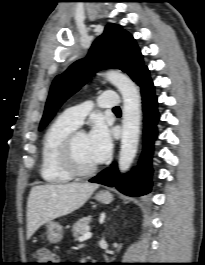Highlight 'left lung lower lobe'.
Segmentation results:
<instances>
[{
  "label": "left lung lower lobe",
  "instance_id": "0a47b994",
  "mask_svg": "<svg viewBox=\"0 0 205 265\" xmlns=\"http://www.w3.org/2000/svg\"><path fill=\"white\" fill-rule=\"evenodd\" d=\"M137 84L141 89L144 112L143 153L139 166L135 168L134 173L121 176L117 170V165L114 164L111 168L103 170L89 180L90 182L109 187H116L120 192L128 196H142L151 190V158L153 154V143L157 135L156 124L159 119L157 98L147 67L140 74Z\"/></svg>",
  "mask_w": 205,
  "mask_h": 265
}]
</instances>
